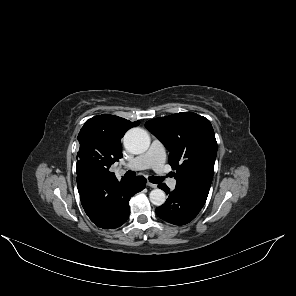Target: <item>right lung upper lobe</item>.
I'll list each match as a JSON object with an SVG mask.
<instances>
[{
    "mask_svg": "<svg viewBox=\"0 0 296 296\" xmlns=\"http://www.w3.org/2000/svg\"><path fill=\"white\" fill-rule=\"evenodd\" d=\"M139 121L131 122L121 117L102 114L89 119L78 135L80 147L93 146L105 153L112 164L122 158L121 138ZM112 173L110 176H113Z\"/></svg>",
    "mask_w": 296,
    "mask_h": 296,
    "instance_id": "obj_1",
    "label": "right lung upper lobe"
}]
</instances>
